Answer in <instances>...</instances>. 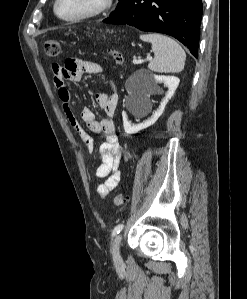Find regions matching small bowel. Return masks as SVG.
Returning <instances> with one entry per match:
<instances>
[{"label":"small bowel","instance_id":"small-bowel-1","mask_svg":"<svg viewBox=\"0 0 247 299\" xmlns=\"http://www.w3.org/2000/svg\"><path fill=\"white\" fill-rule=\"evenodd\" d=\"M103 72L102 65L88 60L73 58L67 59L63 65L52 64L53 82L58 91L64 114L83 140L88 153L93 151L94 140L81 126L71 108V93L66 87L65 81L78 82L81 81L84 73L101 74ZM96 102L105 117L97 120L94 111L85 107L81 111V119L90 131L102 134L105 138L99 147L101 164L96 171L97 177L104 179L99 184L97 193L100 198L105 199L118 186L121 180V166L127 157L118 140L112 120L118 104V93L113 83H111L109 92L101 91L96 94Z\"/></svg>","mask_w":247,"mask_h":299}]
</instances>
